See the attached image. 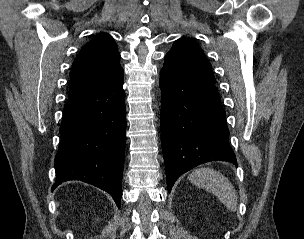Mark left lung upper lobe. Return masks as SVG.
I'll use <instances>...</instances> for the list:
<instances>
[{
  "mask_svg": "<svg viewBox=\"0 0 304 239\" xmlns=\"http://www.w3.org/2000/svg\"><path fill=\"white\" fill-rule=\"evenodd\" d=\"M177 60L185 69L206 78L212 82H216L212 67L204 55L203 50L188 38H180L175 41L171 50L166 54Z\"/></svg>",
  "mask_w": 304,
  "mask_h": 239,
  "instance_id": "5c2ea615",
  "label": "left lung upper lobe"
}]
</instances>
